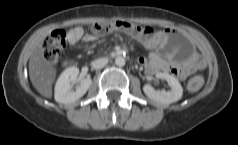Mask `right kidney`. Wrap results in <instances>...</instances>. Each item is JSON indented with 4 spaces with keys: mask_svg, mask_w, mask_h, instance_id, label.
I'll return each instance as SVG.
<instances>
[{
    "mask_svg": "<svg viewBox=\"0 0 238 145\" xmlns=\"http://www.w3.org/2000/svg\"><path fill=\"white\" fill-rule=\"evenodd\" d=\"M78 74L79 69L77 67H69L61 73L55 85L56 102L70 104L79 100L87 92L92 84L89 77L82 79L76 91H72L71 83L76 82Z\"/></svg>",
    "mask_w": 238,
    "mask_h": 145,
    "instance_id": "ca27d5eb",
    "label": "right kidney"
}]
</instances>
